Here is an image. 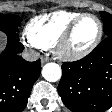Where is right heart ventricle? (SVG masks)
<instances>
[{"label": "right heart ventricle", "mask_w": 112, "mask_h": 112, "mask_svg": "<svg viewBox=\"0 0 112 112\" xmlns=\"http://www.w3.org/2000/svg\"><path fill=\"white\" fill-rule=\"evenodd\" d=\"M81 12L57 10L34 17L27 25L29 37L41 48H52L66 27Z\"/></svg>", "instance_id": "right-heart-ventricle-1"}]
</instances>
